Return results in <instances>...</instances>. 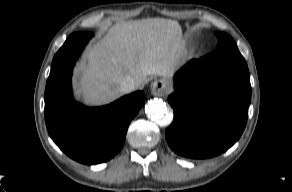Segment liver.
I'll list each match as a JSON object with an SVG mask.
<instances>
[{
  "instance_id": "1",
  "label": "liver",
  "mask_w": 292,
  "mask_h": 192,
  "mask_svg": "<svg viewBox=\"0 0 292 192\" xmlns=\"http://www.w3.org/2000/svg\"><path fill=\"white\" fill-rule=\"evenodd\" d=\"M184 55L182 29L175 20L117 22L78 64V92L87 104L111 102L124 94L120 84L124 78H133L136 89L148 76L167 78L180 67Z\"/></svg>"
}]
</instances>
